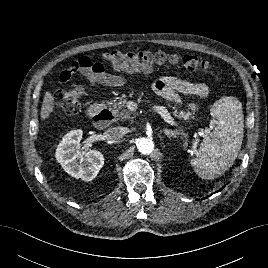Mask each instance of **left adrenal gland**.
<instances>
[{
	"instance_id": "obj_1",
	"label": "left adrenal gland",
	"mask_w": 268,
	"mask_h": 268,
	"mask_svg": "<svg viewBox=\"0 0 268 268\" xmlns=\"http://www.w3.org/2000/svg\"><path fill=\"white\" fill-rule=\"evenodd\" d=\"M163 132L167 135L168 138H176L178 135V131L177 130H171V129H163Z\"/></svg>"
}]
</instances>
